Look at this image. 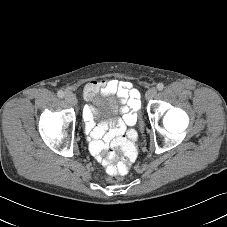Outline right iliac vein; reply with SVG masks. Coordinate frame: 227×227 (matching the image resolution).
Wrapping results in <instances>:
<instances>
[{
	"mask_svg": "<svg viewBox=\"0 0 227 227\" xmlns=\"http://www.w3.org/2000/svg\"><path fill=\"white\" fill-rule=\"evenodd\" d=\"M65 100L71 105L77 104V98H76L75 94H73L71 92L66 93Z\"/></svg>",
	"mask_w": 227,
	"mask_h": 227,
	"instance_id": "1",
	"label": "right iliac vein"
}]
</instances>
